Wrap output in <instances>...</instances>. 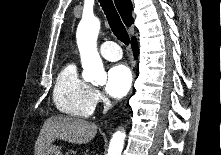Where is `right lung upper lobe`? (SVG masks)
Instances as JSON below:
<instances>
[{"instance_id":"obj_1","label":"right lung upper lobe","mask_w":221,"mask_h":155,"mask_svg":"<svg viewBox=\"0 0 221 155\" xmlns=\"http://www.w3.org/2000/svg\"><path fill=\"white\" fill-rule=\"evenodd\" d=\"M115 5L125 25L130 26L133 23L131 0H115Z\"/></svg>"}]
</instances>
